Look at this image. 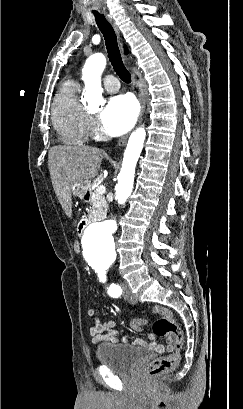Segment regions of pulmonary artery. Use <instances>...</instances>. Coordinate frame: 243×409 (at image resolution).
Instances as JSON below:
<instances>
[{
  "instance_id": "obj_1",
  "label": "pulmonary artery",
  "mask_w": 243,
  "mask_h": 409,
  "mask_svg": "<svg viewBox=\"0 0 243 409\" xmlns=\"http://www.w3.org/2000/svg\"><path fill=\"white\" fill-rule=\"evenodd\" d=\"M104 88L108 92H115L119 89V82L113 75H108L103 80Z\"/></svg>"
}]
</instances>
